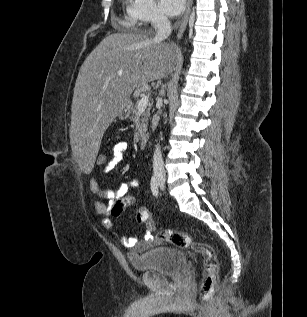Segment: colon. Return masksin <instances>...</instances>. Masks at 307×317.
I'll return each instance as SVG.
<instances>
[{"label": "colon", "mask_w": 307, "mask_h": 317, "mask_svg": "<svg viewBox=\"0 0 307 317\" xmlns=\"http://www.w3.org/2000/svg\"><path fill=\"white\" fill-rule=\"evenodd\" d=\"M107 162V155L103 152H99L95 161L96 165L103 168ZM135 204V197L127 196L115 201L111 213L114 217H118L125 208L134 206ZM136 220L138 223L145 225L148 230L153 231L156 228L150 212L144 207L137 208ZM157 237L178 248H192L203 255L204 275L201 284V295H208L212 289L218 271V263L212 247L203 243H194L187 233L174 229L160 230L157 232Z\"/></svg>", "instance_id": "5ec220e1"}]
</instances>
